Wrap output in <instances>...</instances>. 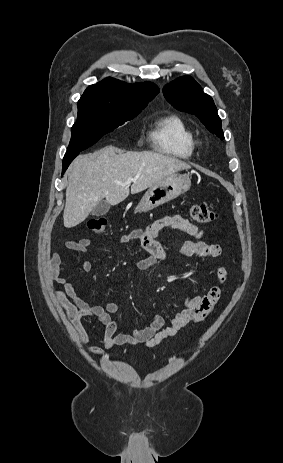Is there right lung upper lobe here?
Listing matches in <instances>:
<instances>
[{
    "label": "right lung upper lobe",
    "mask_w": 283,
    "mask_h": 463,
    "mask_svg": "<svg viewBox=\"0 0 283 463\" xmlns=\"http://www.w3.org/2000/svg\"><path fill=\"white\" fill-rule=\"evenodd\" d=\"M158 92V87L151 82L127 84L108 77L96 85H90L81 98L145 105L148 104Z\"/></svg>",
    "instance_id": "cb5924a9"
}]
</instances>
